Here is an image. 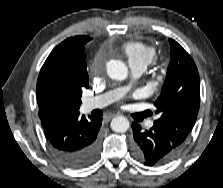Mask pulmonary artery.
<instances>
[{
  "label": "pulmonary artery",
  "instance_id": "obj_1",
  "mask_svg": "<svg viewBox=\"0 0 223 188\" xmlns=\"http://www.w3.org/2000/svg\"><path fill=\"white\" fill-rule=\"evenodd\" d=\"M129 66H130V69L134 76L140 75L141 73L144 72V70L146 68L142 64H134V63H129ZM126 90H127V88H121V89L107 92V93L99 95V96L87 98L84 100L83 106H84L85 110H87V111L105 107L108 104H110L112 101H114L115 99H117L118 97L123 95V93ZM147 126L152 127L153 122L152 121L148 122Z\"/></svg>",
  "mask_w": 223,
  "mask_h": 188
}]
</instances>
